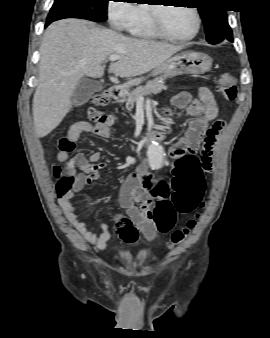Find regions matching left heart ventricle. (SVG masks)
<instances>
[{
	"instance_id": "left-heart-ventricle-1",
	"label": "left heart ventricle",
	"mask_w": 270,
	"mask_h": 338,
	"mask_svg": "<svg viewBox=\"0 0 270 338\" xmlns=\"http://www.w3.org/2000/svg\"><path fill=\"white\" fill-rule=\"evenodd\" d=\"M161 17L165 29L174 36H189L196 28L195 14L188 7L171 6L164 8Z\"/></svg>"
}]
</instances>
